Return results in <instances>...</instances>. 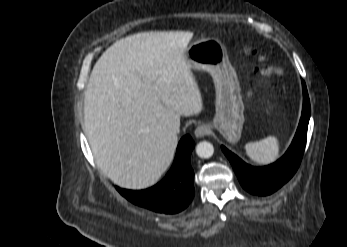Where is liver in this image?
I'll list each match as a JSON object with an SVG mask.
<instances>
[{
  "label": "liver",
  "mask_w": 347,
  "mask_h": 247,
  "mask_svg": "<svg viewBox=\"0 0 347 247\" xmlns=\"http://www.w3.org/2000/svg\"><path fill=\"white\" fill-rule=\"evenodd\" d=\"M192 32H143L116 41L94 65L84 126L93 156L114 184L140 190L171 164L180 116L202 110L184 52Z\"/></svg>",
  "instance_id": "obj_1"
}]
</instances>
